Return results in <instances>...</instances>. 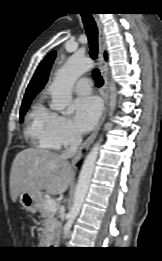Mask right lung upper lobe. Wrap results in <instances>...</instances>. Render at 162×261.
Segmentation results:
<instances>
[{
	"label": "right lung upper lobe",
	"instance_id": "right-lung-upper-lobe-1",
	"mask_svg": "<svg viewBox=\"0 0 162 261\" xmlns=\"http://www.w3.org/2000/svg\"><path fill=\"white\" fill-rule=\"evenodd\" d=\"M56 56V52L49 53L46 58L42 61L38 69L36 70L28 88L26 89V93L24 95V101L32 100L37 93H39L48 80V75L50 72V68ZM106 56V54H105Z\"/></svg>",
	"mask_w": 162,
	"mask_h": 261
}]
</instances>
